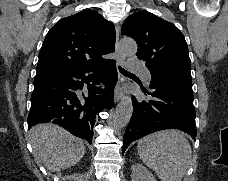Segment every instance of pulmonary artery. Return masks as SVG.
Segmentation results:
<instances>
[{"label":"pulmonary artery","instance_id":"pulmonary-artery-1","mask_svg":"<svg viewBox=\"0 0 228 181\" xmlns=\"http://www.w3.org/2000/svg\"><path fill=\"white\" fill-rule=\"evenodd\" d=\"M129 71H146V66H129ZM147 82L149 83V78H146Z\"/></svg>","mask_w":228,"mask_h":181}]
</instances>
